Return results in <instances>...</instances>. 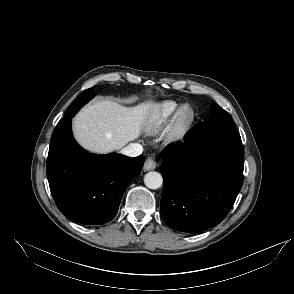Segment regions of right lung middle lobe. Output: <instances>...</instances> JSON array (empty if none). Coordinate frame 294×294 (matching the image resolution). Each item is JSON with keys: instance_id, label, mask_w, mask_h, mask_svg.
Instances as JSON below:
<instances>
[{"instance_id": "1", "label": "right lung middle lobe", "mask_w": 294, "mask_h": 294, "mask_svg": "<svg viewBox=\"0 0 294 294\" xmlns=\"http://www.w3.org/2000/svg\"><path fill=\"white\" fill-rule=\"evenodd\" d=\"M87 95V91L81 93L80 96H78L67 108V111L65 112L63 119L73 117L78 112V110L90 100L89 98H87Z\"/></svg>"}]
</instances>
